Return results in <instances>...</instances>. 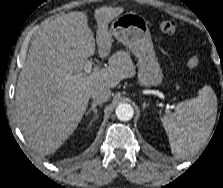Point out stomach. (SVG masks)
I'll return each instance as SVG.
<instances>
[{
  "label": "stomach",
  "mask_w": 223,
  "mask_h": 188,
  "mask_svg": "<svg viewBox=\"0 0 223 188\" xmlns=\"http://www.w3.org/2000/svg\"><path fill=\"white\" fill-rule=\"evenodd\" d=\"M110 32L138 58L139 84L160 85L163 75L155 57L147 21L136 13L128 12L113 20Z\"/></svg>",
  "instance_id": "obj_1"
}]
</instances>
